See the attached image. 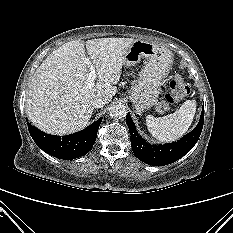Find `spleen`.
Instances as JSON below:
<instances>
[{
  "label": "spleen",
  "instance_id": "spleen-1",
  "mask_svg": "<svg viewBox=\"0 0 233 233\" xmlns=\"http://www.w3.org/2000/svg\"><path fill=\"white\" fill-rule=\"evenodd\" d=\"M196 101H185L179 110L164 117L148 115L146 124L150 134L162 142H172L182 137L192 124Z\"/></svg>",
  "mask_w": 233,
  "mask_h": 233
}]
</instances>
